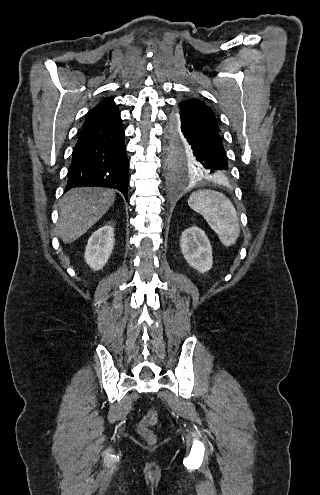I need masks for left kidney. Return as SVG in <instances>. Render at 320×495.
<instances>
[{
    "mask_svg": "<svg viewBox=\"0 0 320 495\" xmlns=\"http://www.w3.org/2000/svg\"><path fill=\"white\" fill-rule=\"evenodd\" d=\"M182 254L187 263L201 273L211 269L212 248L205 233L198 227L186 229L180 239Z\"/></svg>",
    "mask_w": 320,
    "mask_h": 495,
    "instance_id": "1",
    "label": "left kidney"
}]
</instances>
